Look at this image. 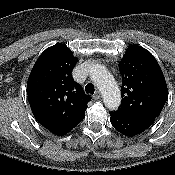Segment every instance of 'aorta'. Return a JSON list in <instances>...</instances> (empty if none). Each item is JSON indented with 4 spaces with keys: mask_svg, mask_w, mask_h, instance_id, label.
Instances as JSON below:
<instances>
[{
    "mask_svg": "<svg viewBox=\"0 0 175 175\" xmlns=\"http://www.w3.org/2000/svg\"><path fill=\"white\" fill-rule=\"evenodd\" d=\"M90 77L101 91L105 106L110 110H116L121 102V94L110 72L103 65L96 64L90 69Z\"/></svg>",
    "mask_w": 175,
    "mask_h": 175,
    "instance_id": "aorta-1",
    "label": "aorta"
}]
</instances>
